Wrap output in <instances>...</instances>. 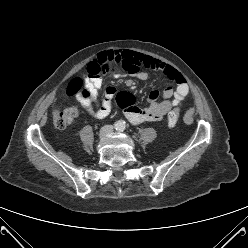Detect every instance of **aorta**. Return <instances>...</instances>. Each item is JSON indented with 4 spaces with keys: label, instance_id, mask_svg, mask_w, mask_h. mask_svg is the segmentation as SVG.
Listing matches in <instances>:
<instances>
[{
    "label": "aorta",
    "instance_id": "1",
    "mask_svg": "<svg viewBox=\"0 0 248 248\" xmlns=\"http://www.w3.org/2000/svg\"><path fill=\"white\" fill-rule=\"evenodd\" d=\"M119 126H120V128H122V129L125 127L123 122H119Z\"/></svg>",
    "mask_w": 248,
    "mask_h": 248
}]
</instances>
